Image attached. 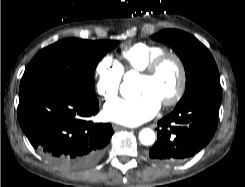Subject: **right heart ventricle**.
Returning <instances> with one entry per match:
<instances>
[{
  "label": "right heart ventricle",
  "mask_w": 245,
  "mask_h": 187,
  "mask_svg": "<svg viewBox=\"0 0 245 187\" xmlns=\"http://www.w3.org/2000/svg\"><path fill=\"white\" fill-rule=\"evenodd\" d=\"M166 52V49L157 44L137 42L121 48L120 58L121 68L125 72L137 71L142 69L155 57Z\"/></svg>",
  "instance_id": "right-heart-ventricle-1"
}]
</instances>
